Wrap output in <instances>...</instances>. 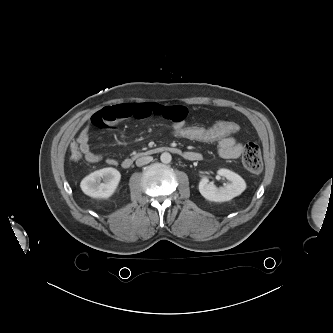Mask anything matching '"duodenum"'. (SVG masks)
Segmentation results:
<instances>
[{
  "instance_id": "obj_1",
  "label": "duodenum",
  "mask_w": 333,
  "mask_h": 333,
  "mask_svg": "<svg viewBox=\"0 0 333 333\" xmlns=\"http://www.w3.org/2000/svg\"><path fill=\"white\" fill-rule=\"evenodd\" d=\"M162 152H170L173 154H182L186 159H189V160L198 159V155L196 153H191V152L182 153L180 149H178L177 147H173V146H157V147L149 148L146 151L140 152L138 154V156L147 157V156L156 155V154H159ZM133 161H134V159L132 157H128V158L124 159L122 162V167L125 169L130 168L133 164Z\"/></svg>"
}]
</instances>
